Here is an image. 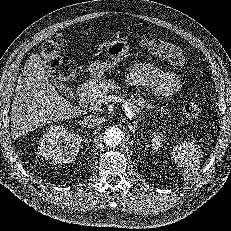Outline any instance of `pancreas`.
Segmentation results:
<instances>
[{
  "label": "pancreas",
  "instance_id": "pancreas-1",
  "mask_svg": "<svg viewBox=\"0 0 231 231\" xmlns=\"http://www.w3.org/2000/svg\"><path fill=\"white\" fill-rule=\"evenodd\" d=\"M121 87L119 84L115 83V80L113 79H104L100 81L98 84H95L92 87V93L87 96V100L92 104V105H99L101 103L109 102L108 96L110 94L118 93V90H120ZM131 101V109L132 110H140L143 108H147L148 110L154 108L152 104H149L148 102L145 101L143 97H138L137 99L134 98V96H131L130 100ZM157 112H160L161 114H169L168 109H164L161 107V109H158Z\"/></svg>",
  "mask_w": 231,
  "mask_h": 231
}]
</instances>
